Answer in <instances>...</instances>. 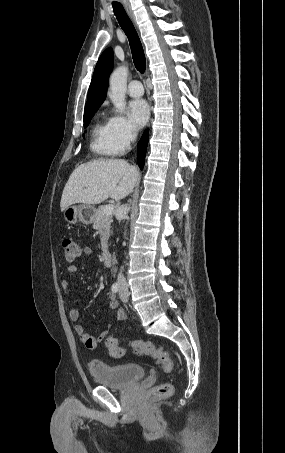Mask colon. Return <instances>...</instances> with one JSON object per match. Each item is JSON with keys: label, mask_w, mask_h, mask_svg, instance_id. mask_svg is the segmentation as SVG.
Wrapping results in <instances>:
<instances>
[{"label": "colon", "mask_w": 285, "mask_h": 453, "mask_svg": "<svg viewBox=\"0 0 285 453\" xmlns=\"http://www.w3.org/2000/svg\"><path fill=\"white\" fill-rule=\"evenodd\" d=\"M62 247L64 250L65 258L68 261L76 259L81 252L79 243L71 237H65L62 240ZM133 352L136 355H146L154 359V361L161 366L164 372L170 373L173 371V362L162 347L155 345L151 341L146 340H129ZM108 352L114 358H121L124 355V349L120 345V341L117 338L109 337L105 341ZM173 392V385L171 383H163L155 386L149 391L150 398L162 399L169 397Z\"/></svg>", "instance_id": "colon-1"}]
</instances>
